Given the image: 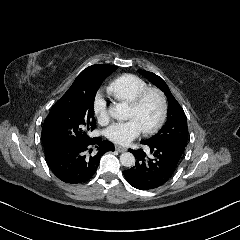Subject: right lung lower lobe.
<instances>
[{
  "instance_id": "1",
  "label": "right lung lower lobe",
  "mask_w": 240,
  "mask_h": 240,
  "mask_svg": "<svg viewBox=\"0 0 240 240\" xmlns=\"http://www.w3.org/2000/svg\"><path fill=\"white\" fill-rule=\"evenodd\" d=\"M46 161L61 181L78 184L88 181L96 172L101 156L114 151V144L100 137L85 142H54L43 145ZM91 147L97 148L93 153Z\"/></svg>"
}]
</instances>
